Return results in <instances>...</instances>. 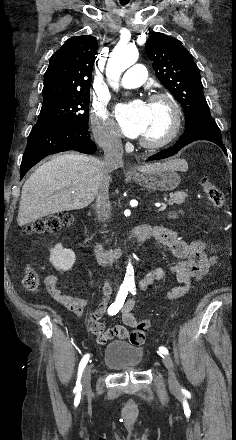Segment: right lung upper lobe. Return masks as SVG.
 Here are the masks:
<instances>
[{
  "instance_id": "1",
  "label": "right lung upper lobe",
  "mask_w": 236,
  "mask_h": 440,
  "mask_svg": "<svg viewBox=\"0 0 236 440\" xmlns=\"http://www.w3.org/2000/svg\"><path fill=\"white\" fill-rule=\"evenodd\" d=\"M98 44L91 35L69 38L50 58L43 104L90 93Z\"/></svg>"
}]
</instances>
